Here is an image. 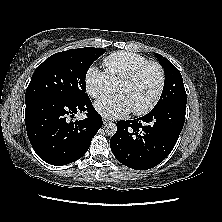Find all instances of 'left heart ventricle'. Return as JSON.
I'll use <instances>...</instances> for the list:
<instances>
[{
	"mask_svg": "<svg viewBox=\"0 0 222 222\" xmlns=\"http://www.w3.org/2000/svg\"><path fill=\"white\" fill-rule=\"evenodd\" d=\"M158 85V70L149 66L132 83L121 86L118 92L126 98L131 110H134L143 107L152 99Z\"/></svg>",
	"mask_w": 222,
	"mask_h": 222,
	"instance_id": "obj_1",
	"label": "left heart ventricle"
}]
</instances>
